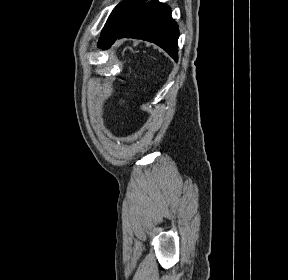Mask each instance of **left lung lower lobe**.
Returning a JSON list of instances; mask_svg holds the SVG:
<instances>
[{
    "label": "left lung lower lobe",
    "mask_w": 288,
    "mask_h": 280,
    "mask_svg": "<svg viewBox=\"0 0 288 280\" xmlns=\"http://www.w3.org/2000/svg\"><path fill=\"white\" fill-rule=\"evenodd\" d=\"M124 37L155 43L175 61L178 60V25L171 17L170 7L158 0H146L126 20L113 38L100 48L108 49L116 39Z\"/></svg>",
    "instance_id": "1"
}]
</instances>
